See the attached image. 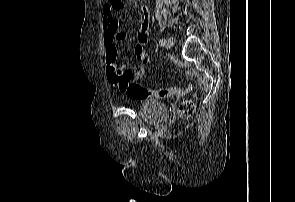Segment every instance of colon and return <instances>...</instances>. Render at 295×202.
Returning a JSON list of instances; mask_svg holds the SVG:
<instances>
[{"mask_svg": "<svg viewBox=\"0 0 295 202\" xmlns=\"http://www.w3.org/2000/svg\"><path fill=\"white\" fill-rule=\"evenodd\" d=\"M115 7H120L123 4L122 0H110ZM134 77L130 70L124 69L119 72L118 88L125 93L129 98L134 100L144 98H167L175 95L178 92L177 87L162 88L159 90H149L142 87L134 81ZM195 109V104L192 100H184L179 106V113L183 117L190 116Z\"/></svg>", "mask_w": 295, "mask_h": 202, "instance_id": "obj_1", "label": "colon"}]
</instances>
